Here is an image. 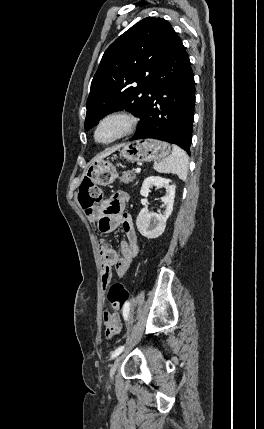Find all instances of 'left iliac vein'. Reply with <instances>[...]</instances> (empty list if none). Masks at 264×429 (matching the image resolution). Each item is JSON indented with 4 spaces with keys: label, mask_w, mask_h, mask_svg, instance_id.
Returning a JSON list of instances; mask_svg holds the SVG:
<instances>
[{
    "label": "left iliac vein",
    "mask_w": 264,
    "mask_h": 429,
    "mask_svg": "<svg viewBox=\"0 0 264 429\" xmlns=\"http://www.w3.org/2000/svg\"><path fill=\"white\" fill-rule=\"evenodd\" d=\"M123 357H124V354H119L117 356V358L115 359L113 365L111 366V369H110V378H111V380H113L114 375H115V373H116V371H117V369H118V367H119V365H120Z\"/></svg>",
    "instance_id": "4c4485c4"
}]
</instances>
